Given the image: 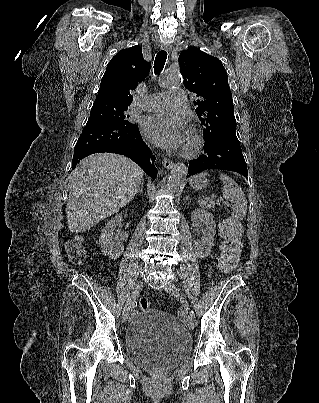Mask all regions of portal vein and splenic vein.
Masks as SVG:
<instances>
[{
  "mask_svg": "<svg viewBox=\"0 0 319 403\" xmlns=\"http://www.w3.org/2000/svg\"><path fill=\"white\" fill-rule=\"evenodd\" d=\"M216 201H217V203H219V202H220V199H219V198H216Z\"/></svg>",
  "mask_w": 319,
  "mask_h": 403,
  "instance_id": "1",
  "label": "portal vein and splenic vein"
}]
</instances>
